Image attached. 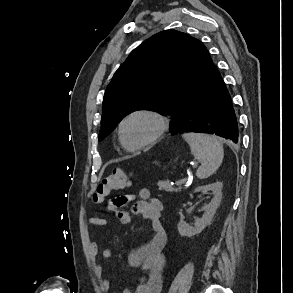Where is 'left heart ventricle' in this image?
<instances>
[{
	"label": "left heart ventricle",
	"instance_id": "obj_1",
	"mask_svg": "<svg viewBox=\"0 0 293 293\" xmlns=\"http://www.w3.org/2000/svg\"><path fill=\"white\" fill-rule=\"evenodd\" d=\"M156 129L153 119L146 116H135L124 126L125 140L130 145L141 143L150 138Z\"/></svg>",
	"mask_w": 293,
	"mask_h": 293
}]
</instances>
